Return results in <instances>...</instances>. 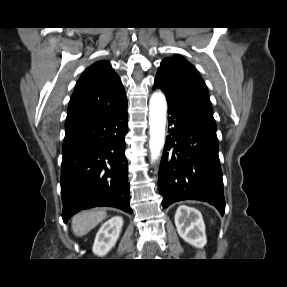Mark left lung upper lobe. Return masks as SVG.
Instances as JSON below:
<instances>
[{
	"mask_svg": "<svg viewBox=\"0 0 287 287\" xmlns=\"http://www.w3.org/2000/svg\"><path fill=\"white\" fill-rule=\"evenodd\" d=\"M153 88H160L165 93L169 106L216 133L207 86L197 69L187 60L180 56L163 59Z\"/></svg>",
	"mask_w": 287,
	"mask_h": 287,
	"instance_id": "obj_1",
	"label": "left lung upper lobe"
}]
</instances>
